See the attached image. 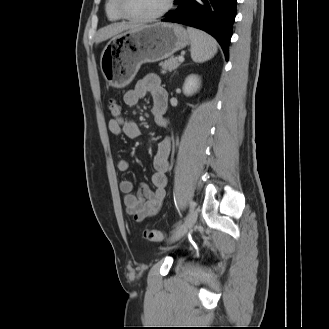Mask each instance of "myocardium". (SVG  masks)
<instances>
[{"label":"myocardium","mask_w":329,"mask_h":329,"mask_svg":"<svg viewBox=\"0 0 329 329\" xmlns=\"http://www.w3.org/2000/svg\"><path fill=\"white\" fill-rule=\"evenodd\" d=\"M117 9L123 18L136 22H151L160 19L166 15L173 7L174 0H167L165 6L157 13L149 16L134 15L127 12L124 6V0H116Z\"/></svg>","instance_id":"obj_1"}]
</instances>
